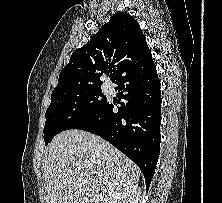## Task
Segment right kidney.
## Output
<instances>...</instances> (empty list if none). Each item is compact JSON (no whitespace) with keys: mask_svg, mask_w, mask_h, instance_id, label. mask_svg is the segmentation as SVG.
<instances>
[{"mask_svg":"<svg viewBox=\"0 0 222 203\" xmlns=\"http://www.w3.org/2000/svg\"><path fill=\"white\" fill-rule=\"evenodd\" d=\"M141 188L137 184L125 186L105 203H139Z\"/></svg>","mask_w":222,"mask_h":203,"instance_id":"obj_1","label":"right kidney"}]
</instances>
